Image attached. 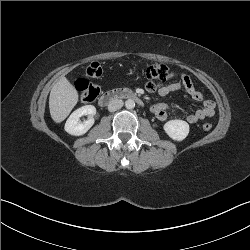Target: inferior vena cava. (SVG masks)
<instances>
[{
    "label": "inferior vena cava",
    "instance_id": "602c4592",
    "mask_svg": "<svg viewBox=\"0 0 250 250\" xmlns=\"http://www.w3.org/2000/svg\"><path fill=\"white\" fill-rule=\"evenodd\" d=\"M124 102L120 99H113L108 104V110L114 112L123 106Z\"/></svg>",
    "mask_w": 250,
    "mask_h": 250
}]
</instances>
